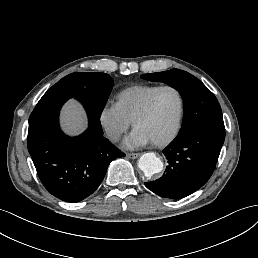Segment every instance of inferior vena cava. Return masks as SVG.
<instances>
[{"mask_svg": "<svg viewBox=\"0 0 258 258\" xmlns=\"http://www.w3.org/2000/svg\"><path fill=\"white\" fill-rule=\"evenodd\" d=\"M106 134L113 141H117L120 138V134L114 132V130L110 128L106 129Z\"/></svg>", "mask_w": 258, "mask_h": 258, "instance_id": "1", "label": "inferior vena cava"}]
</instances>
